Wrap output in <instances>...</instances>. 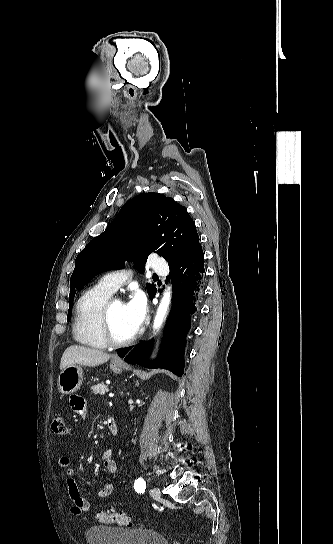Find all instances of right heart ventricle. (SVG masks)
<instances>
[{"label": "right heart ventricle", "mask_w": 333, "mask_h": 544, "mask_svg": "<svg viewBox=\"0 0 333 544\" xmlns=\"http://www.w3.org/2000/svg\"><path fill=\"white\" fill-rule=\"evenodd\" d=\"M113 292L100 282L85 290L75 306L73 336L82 345L103 349L108 344L101 332V313Z\"/></svg>", "instance_id": "right-heart-ventricle-1"}]
</instances>
